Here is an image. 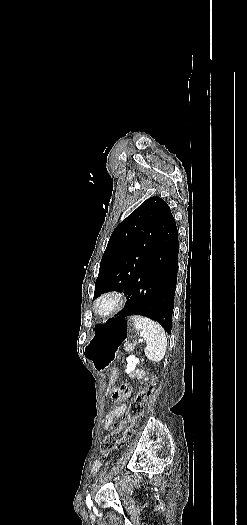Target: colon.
Masks as SVG:
<instances>
[{
  "label": "colon",
  "instance_id": "5ec220e1",
  "mask_svg": "<svg viewBox=\"0 0 247 525\" xmlns=\"http://www.w3.org/2000/svg\"><path fill=\"white\" fill-rule=\"evenodd\" d=\"M118 376L119 373L117 370H110L107 378L108 383H115ZM155 383V376L152 375L148 381V385L143 388L133 399L129 408V412L124 420L121 421L119 425H116L114 430L103 439L101 443V450L103 454H107L125 442L126 436L131 432L133 424L141 416L147 400V394L149 390L155 385ZM110 384H107L104 387L106 395H109V393L113 390V387Z\"/></svg>",
  "mask_w": 247,
  "mask_h": 525
}]
</instances>
